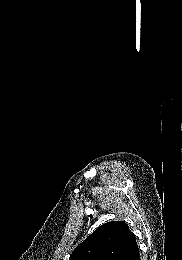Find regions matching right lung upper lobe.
Segmentation results:
<instances>
[{
  "label": "right lung upper lobe",
  "mask_w": 182,
  "mask_h": 260,
  "mask_svg": "<svg viewBox=\"0 0 182 260\" xmlns=\"http://www.w3.org/2000/svg\"><path fill=\"white\" fill-rule=\"evenodd\" d=\"M139 254L135 235L123 221L99 226L70 255L69 260H133Z\"/></svg>",
  "instance_id": "right-lung-upper-lobe-1"
}]
</instances>
